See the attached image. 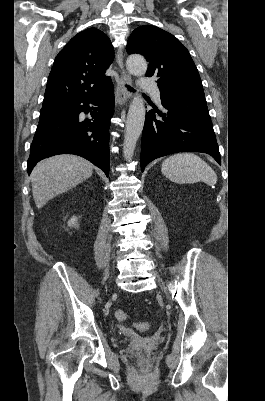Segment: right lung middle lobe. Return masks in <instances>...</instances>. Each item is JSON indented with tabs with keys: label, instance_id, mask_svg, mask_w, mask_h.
<instances>
[{
	"label": "right lung middle lobe",
	"instance_id": "1",
	"mask_svg": "<svg viewBox=\"0 0 265 401\" xmlns=\"http://www.w3.org/2000/svg\"><path fill=\"white\" fill-rule=\"evenodd\" d=\"M70 103H60V104H53V105H48V106H42V109L40 112H44L46 110L50 109H60V108H66L69 106Z\"/></svg>",
	"mask_w": 265,
	"mask_h": 401
}]
</instances>
